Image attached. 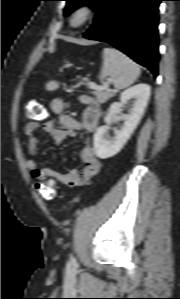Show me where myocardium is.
Here are the masks:
<instances>
[{
	"label": "myocardium",
	"mask_w": 180,
	"mask_h": 299,
	"mask_svg": "<svg viewBox=\"0 0 180 299\" xmlns=\"http://www.w3.org/2000/svg\"><path fill=\"white\" fill-rule=\"evenodd\" d=\"M95 9L89 3L77 5L69 15V24L74 29L86 26L94 17Z\"/></svg>",
	"instance_id": "obj_1"
}]
</instances>
